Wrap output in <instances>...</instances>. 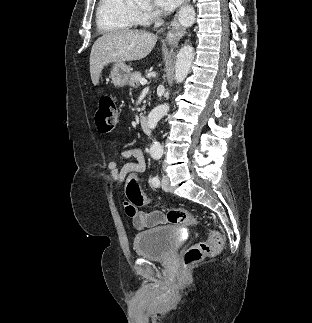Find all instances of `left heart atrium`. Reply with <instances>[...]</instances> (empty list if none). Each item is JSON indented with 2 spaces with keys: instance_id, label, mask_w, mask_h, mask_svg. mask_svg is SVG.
<instances>
[{
  "instance_id": "1",
  "label": "left heart atrium",
  "mask_w": 312,
  "mask_h": 323,
  "mask_svg": "<svg viewBox=\"0 0 312 323\" xmlns=\"http://www.w3.org/2000/svg\"><path fill=\"white\" fill-rule=\"evenodd\" d=\"M183 0H150L149 8H161L162 12H175Z\"/></svg>"
}]
</instances>
